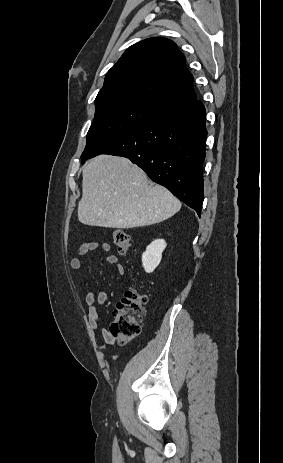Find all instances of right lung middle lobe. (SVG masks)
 Returning a JSON list of instances; mask_svg holds the SVG:
<instances>
[{
    "label": "right lung middle lobe",
    "mask_w": 283,
    "mask_h": 463,
    "mask_svg": "<svg viewBox=\"0 0 283 463\" xmlns=\"http://www.w3.org/2000/svg\"><path fill=\"white\" fill-rule=\"evenodd\" d=\"M95 104L94 121L88 131L81 158L96 152L114 138L161 111L143 100L119 92L97 95Z\"/></svg>",
    "instance_id": "dd1d6c3e"
}]
</instances>
